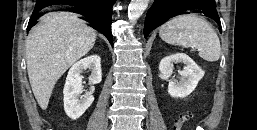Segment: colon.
Listing matches in <instances>:
<instances>
[{"instance_id": "obj_1", "label": "colon", "mask_w": 257, "mask_h": 130, "mask_svg": "<svg viewBox=\"0 0 257 130\" xmlns=\"http://www.w3.org/2000/svg\"><path fill=\"white\" fill-rule=\"evenodd\" d=\"M191 114L181 115L174 123L173 130H183L184 124L190 120Z\"/></svg>"}]
</instances>
